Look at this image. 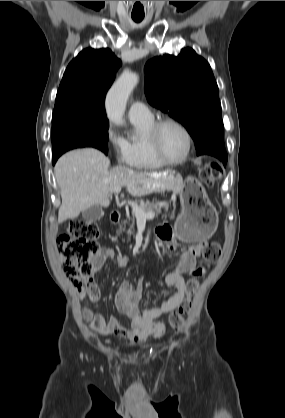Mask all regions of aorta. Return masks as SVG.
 Listing matches in <instances>:
<instances>
[{"label": "aorta", "instance_id": "obj_1", "mask_svg": "<svg viewBox=\"0 0 285 418\" xmlns=\"http://www.w3.org/2000/svg\"><path fill=\"white\" fill-rule=\"evenodd\" d=\"M138 81L139 77L136 73L124 71L109 90L105 104L108 118L114 125L125 124L123 116L126 102Z\"/></svg>", "mask_w": 285, "mask_h": 418}]
</instances>
